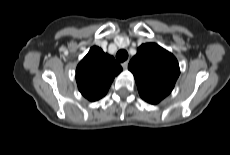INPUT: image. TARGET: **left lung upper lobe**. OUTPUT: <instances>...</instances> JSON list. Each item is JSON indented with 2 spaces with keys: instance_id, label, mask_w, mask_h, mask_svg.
Listing matches in <instances>:
<instances>
[{
  "instance_id": "5c2ea615",
  "label": "left lung upper lobe",
  "mask_w": 230,
  "mask_h": 155,
  "mask_svg": "<svg viewBox=\"0 0 230 155\" xmlns=\"http://www.w3.org/2000/svg\"><path fill=\"white\" fill-rule=\"evenodd\" d=\"M128 69L134 75L140 96L150 104H158L169 95L180 74L173 54L155 43L141 45Z\"/></svg>"
}]
</instances>
